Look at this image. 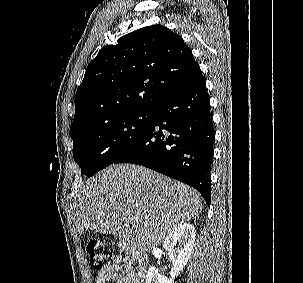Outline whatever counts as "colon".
Returning a JSON list of instances; mask_svg holds the SVG:
<instances>
[{"label":"colon","instance_id":"5ec220e1","mask_svg":"<svg viewBox=\"0 0 303 283\" xmlns=\"http://www.w3.org/2000/svg\"><path fill=\"white\" fill-rule=\"evenodd\" d=\"M85 250L92 269L102 271L106 264L115 257V251L111 243L98 238L87 241Z\"/></svg>","mask_w":303,"mask_h":283}]
</instances>
